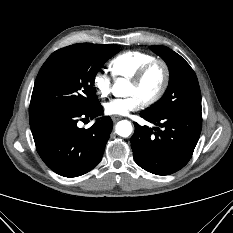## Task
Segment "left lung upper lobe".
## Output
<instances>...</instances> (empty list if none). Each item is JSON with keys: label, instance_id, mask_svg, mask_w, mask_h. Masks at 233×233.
Wrapping results in <instances>:
<instances>
[{"label": "left lung upper lobe", "instance_id": "left-lung-upper-lobe-1", "mask_svg": "<svg viewBox=\"0 0 233 233\" xmlns=\"http://www.w3.org/2000/svg\"><path fill=\"white\" fill-rule=\"evenodd\" d=\"M150 49L167 63L170 80L162 99L143 112L151 117H159L178 110L201 112L199 83L190 65L168 47L152 45Z\"/></svg>", "mask_w": 233, "mask_h": 233}]
</instances>
